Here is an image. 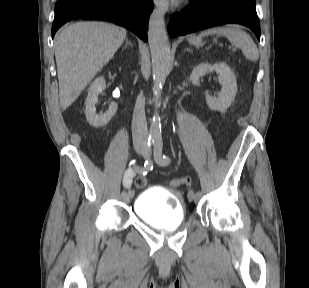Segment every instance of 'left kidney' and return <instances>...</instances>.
Masks as SVG:
<instances>
[{
  "mask_svg": "<svg viewBox=\"0 0 309 288\" xmlns=\"http://www.w3.org/2000/svg\"><path fill=\"white\" fill-rule=\"evenodd\" d=\"M210 71H215L219 74V83L222 89L217 98L210 96L207 91L205 93L206 103L211 110L224 112L231 106L237 93L235 75L227 64L222 62L214 65L201 63L194 67L189 79L193 85H199L200 77H203Z\"/></svg>",
  "mask_w": 309,
  "mask_h": 288,
  "instance_id": "obj_1",
  "label": "left kidney"
}]
</instances>
